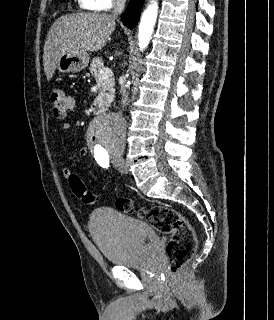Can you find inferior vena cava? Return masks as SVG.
<instances>
[{"label": "inferior vena cava", "mask_w": 274, "mask_h": 320, "mask_svg": "<svg viewBox=\"0 0 274 320\" xmlns=\"http://www.w3.org/2000/svg\"><path fill=\"white\" fill-rule=\"evenodd\" d=\"M125 2L126 0H113V12L111 14L112 18H117V16H120L122 14L124 8H125ZM122 84H120V92H121V108H125V106H128V86L126 84V78L125 76H122L121 78Z\"/></svg>", "instance_id": "602c4592"}]
</instances>
